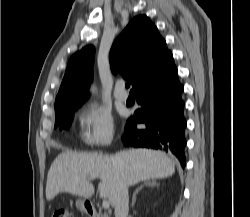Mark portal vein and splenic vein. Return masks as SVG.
I'll use <instances>...</instances> for the list:
<instances>
[{"instance_id": "obj_1", "label": "portal vein and splenic vein", "mask_w": 250, "mask_h": 217, "mask_svg": "<svg viewBox=\"0 0 250 217\" xmlns=\"http://www.w3.org/2000/svg\"><path fill=\"white\" fill-rule=\"evenodd\" d=\"M102 207L107 209L110 207V202L108 200H103Z\"/></svg>"}]
</instances>
